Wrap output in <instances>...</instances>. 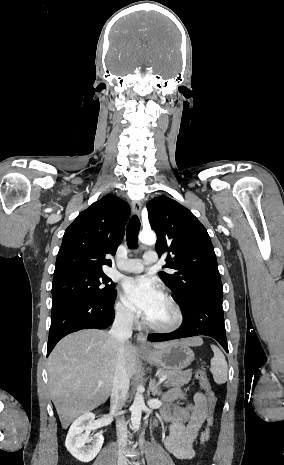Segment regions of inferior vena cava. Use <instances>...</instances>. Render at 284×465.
<instances>
[{"mask_svg": "<svg viewBox=\"0 0 284 465\" xmlns=\"http://www.w3.org/2000/svg\"><path fill=\"white\" fill-rule=\"evenodd\" d=\"M134 319L132 313L116 315L113 327L109 331L110 337H114L117 343L115 377L110 401L111 413H117L119 409H122L129 391V375L125 367L124 343L132 337ZM116 427L119 449H124L127 445V423H125L124 419H118ZM117 463L118 465H128L124 451H119Z\"/></svg>", "mask_w": 284, "mask_h": 465, "instance_id": "inferior-vena-cava-1", "label": "inferior vena cava"}]
</instances>
